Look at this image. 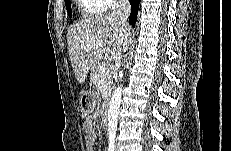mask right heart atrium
<instances>
[{"mask_svg":"<svg viewBox=\"0 0 231 151\" xmlns=\"http://www.w3.org/2000/svg\"><path fill=\"white\" fill-rule=\"evenodd\" d=\"M103 11L117 10L123 3L121 0H99Z\"/></svg>","mask_w":231,"mask_h":151,"instance_id":"1","label":"right heart atrium"}]
</instances>
